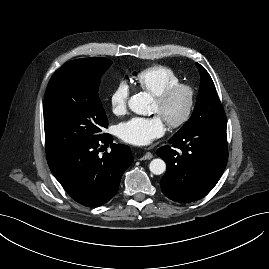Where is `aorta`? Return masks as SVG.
<instances>
[{
  "mask_svg": "<svg viewBox=\"0 0 269 269\" xmlns=\"http://www.w3.org/2000/svg\"><path fill=\"white\" fill-rule=\"evenodd\" d=\"M151 102V95L146 92H141L133 95L128 105L132 112L138 115H147ZM149 170L155 175H161L166 170V163L160 158L153 159L149 164Z\"/></svg>",
  "mask_w": 269,
  "mask_h": 269,
  "instance_id": "aorta-1",
  "label": "aorta"
}]
</instances>
